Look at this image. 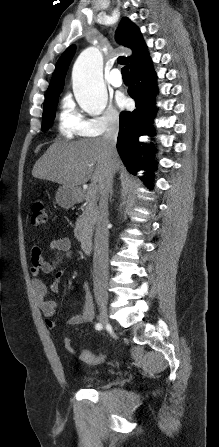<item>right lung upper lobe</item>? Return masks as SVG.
<instances>
[{
	"instance_id": "right-lung-upper-lobe-1",
	"label": "right lung upper lobe",
	"mask_w": 219,
	"mask_h": 447,
	"mask_svg": "<svg viewBox=\"0 0 219 447\" xmlns=\"http://www.w3.org/2000/svg\"><path fill=\"white\" fill-rule=\"evenodd\" d=\"M116 39L122 45L133 50V54L130 57H119L120 63H129L130 70L137 68L149 59L146 45L139 30L128 18H123L119 24ZM74 52L75 46H70L59 58L46 93V98L61 93L64 86V78Z\"/></svg>"
}]
</instances>
